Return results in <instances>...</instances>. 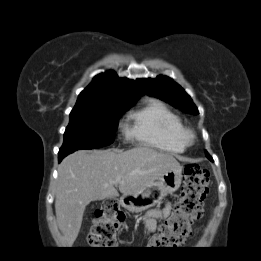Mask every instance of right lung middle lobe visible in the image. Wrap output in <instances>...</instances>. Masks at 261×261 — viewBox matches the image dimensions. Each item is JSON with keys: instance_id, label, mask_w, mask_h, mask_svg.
Masks as SVG:
<instances>
[{"instance_id": "1", "label": "right lung middle lobe", "mask_w": 261, "mask_h": 261, "mask_svg": "<svg viewBox=\"0 0 261 261\" xmlns=\"http://www.w3.org/2000/svg\"><path fill=\"white\" fill-rule=\"evenodd\" d=\"M137 100L112 97L77 100L59 153L93 149L114 141L120 116Z\"/></svg>"}]
</instances>
